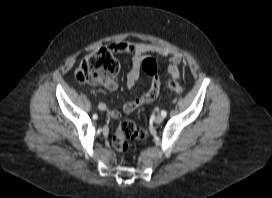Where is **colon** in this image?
Returning a JSON list of instances; mask_svg holds the SVG:
<instances>
[{
    "instance_id": "5ec220e1",
    "label": "colon",
    "mask_w": 272,
    "mask_h": 198,
    "mask_svg": "<svg viewBox=\"0 0 272 198\" xmlns=\"http://www.w3.org/2000/svg\"><path fill=\"white\" fill-rule=\"evenodd\" d=\"M112 45L110 48H102L97 52L87 55L79 64L75 71V78L81 84H105L113 79L119 70V63L113 55ZM142 68L148 75L157 72L156 62L146 59L142 63ZM168 88L175 94L183 92L182 86L175 81L168 83ZM148 132L145 128L137 126L131 120H124L117 128L112 138V147L124 157L128 148V140H145Z\"/></svg>"
}]
</instances>
